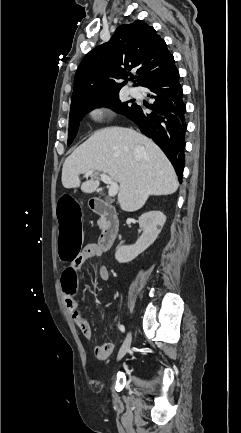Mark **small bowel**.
I'll use <instances>...</instances> for the list:
<instances>
[{"instance_id": "small-bowel-1", "label": "small bowel", "mask_w": 241, "mask_h": 433, "mask_svg": "<svg viewBox=\"0 0 241 433\" xmlns=\"http://www.w3.org/2000/svg\"><path fill=\"white\" fill-rule=\"evenodd\" d=\"M102 255L103 252L99 248L98 244L96 243L88 244L82 249V251L79 254V257H76L75 261H71L70 267H76L77 270L79 271L80 267L86 260L93 257H101ZM98 273L103 280L109 279V271L105 265L103 264L99 265ZM62 292H63L66 309L69 315L71 316L73 322L75 323V325L78 327V329L81 331L82 335L86 339H91L93 335L92 328L89 322L81 314L75 299H71L69 297V293L64 292L63 289ZM114 348L115 346L111 342H106L102 345L96 346L94 349L95 356L98 360H102V361L106 360L112 354Z\"/></svg>"}]
</instances>
